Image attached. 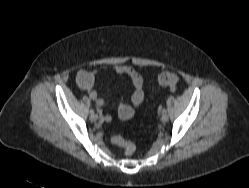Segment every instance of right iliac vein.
I'll return each instance as SVG.
<instances>
[{"label": "right iliac vein", "instance_id": "right-iliac-vein-1", "mask_svg": "<svg viewBox=\"0 0 249 188\" xmlns=\"http://www.w3.org/2000/svg\"><path fill=\"white\" fill-rule=\"evenodd\" d=\"M97 119H98V116H97L96 114H91V115H90V120H91L92 122H95Z\"/></svg>", "mask_w": 249, "mask_h": 188}]
</instances>
